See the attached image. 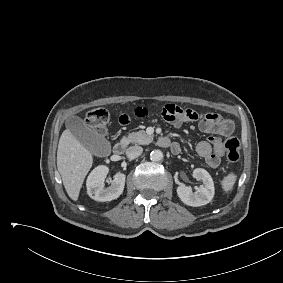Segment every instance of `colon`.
<instances>
[{"mask_svg":"<svg viewBox=\"0 0 283 283\" xmlns=\"http://www.w3.org/2000/svg\"><path fill=\"white\" fill-rule=\"evenodd\" d=\"M86 121L90 127L98 133L104 134L109 124V114L103 108H96L88 112ZM224 148L227 159L231 163H235L240 158V142L236 137H228L224 141Z\"/></svg>","mask_w":283,"mask_h":283,"instance_id":"5ec220e1","label":"colon"}]
</instances>
